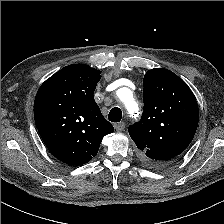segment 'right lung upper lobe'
<instances>
[{"label":"right lung upper lobe","mask_w":224,"mask_h":224,"mask_svg":"<svg viewBox=\"0 0 224 224\" xmlns=\"http://www.w3.org/2000/svg\"><path fill=\"white\" fill-rule=\"evenodd\" d=\"M100 71L85 64L68 65L47 79L34 101V119L48 150L69 165L94 157L114 127L94 100Z\"/></svg>","instance_id":"obj_1"}]
</instances>
